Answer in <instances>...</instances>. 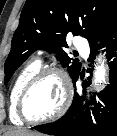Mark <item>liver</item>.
I'll return each instance as SVG.
<instances>
[{
  "mask_svg": "<svg viewBox=\"0 0 117 136\" xmlns=\"http://www.w3.org/2000/svg\"><path fill=\"white\" fill-rule=\"evenodd\" d=\"M5 136H41L37 132L28 131L26 129H14L5 134Z\"/></svg>",
  "mask_w": 117,
  "mask_h": 136,
  "instance_id": "liver-1",
  "label": "liver"
}]
</instances>
